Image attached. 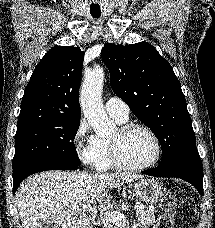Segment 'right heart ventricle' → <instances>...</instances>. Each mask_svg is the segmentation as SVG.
<instances>
[{
    "instance_id": "1",
    "label": "right heart ventricle",
    "mask_w": 215,
    "mask_h": 228,
    "mask_svg": "<svg viewBox=\"0 0 215 228\" xmlns=\"http://www.w3.org/2000/svg\"><path fill=\"white\" fill-rule=\"evenodd\" d=\"M112 118L119 124L126 122V120H121L115 116H112ZM93 164L99 170H107L112 167L113 164L110 156L109 140L104 138H97V155Z\"/></svg>"
}]
</instances>
